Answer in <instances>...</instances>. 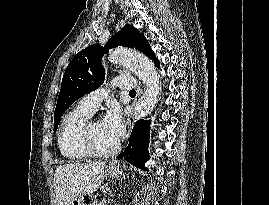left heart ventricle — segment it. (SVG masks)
<instances>
[{"label": "left heart ventricle", "mask_w": 269, "mask_h": 205, "mask_svg": "<svg viewBox=\"0 0 269 205\" xmlns=\"http://www.w3.org/2000/svg\"><path fill=\"white\" fill-rule=\"evenodd\" d=\"M92 136L95 146L102 151L110 150L117 144V142L110 138L105 132L101 120L95 121L92 125Z\"/></svg>", "instance_id": "1"}]
</instances>
